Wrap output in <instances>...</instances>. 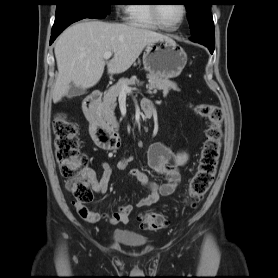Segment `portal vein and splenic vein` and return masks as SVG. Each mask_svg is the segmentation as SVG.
<instances>
[{
    "label": "portal vein and splenic vein",
    "instance_id": "obj_1",
    "mask_svg": "<svg viewBox=\"0 0 278 278\" xmlns=\"http://www.w3.org/2000/svg\"><path fill=\"white\" fill-rule=\"evenodd\" d=\"M111 56H112V52H105L104 55H103L104 59H109V58H111ZM129 91H131V88H129L128 86H123L122 87L121 92L124 93V92H129Z\"/></svg>",
    "mask_w": 278,
    "mask_h": 278
}]
</instances>
